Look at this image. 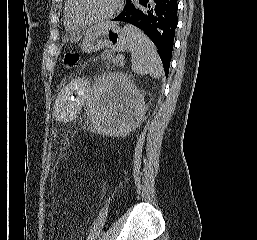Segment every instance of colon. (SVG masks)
Here are the masks:
<instances>
[{
	"label": "colon",
	"instance_id": "1",
	"mask_svg": "<svg viewBox=\"0 0 257 240\" xmlns=\"http://www.w3.org/2000/svg\"><path fill=\"white\" fill-rule=\"evenodd\" d=\"M79 62V55L76 52H67L64 55V65L66 68L71 69L74 68ZM54 163H55V154L51 145L48 146L47 154H46V165L45 172L47 176H50L54 171Z\"/></svg>",
	"mask_w": 257,
	"mask_h": 240
}]
</instances>
